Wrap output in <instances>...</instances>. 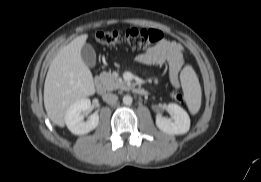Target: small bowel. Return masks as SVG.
<instances>
[{
	"instance_id": "small-bowel-1",
	"label": "small bowel",
	"mask_w": 261,
	"mask_h": 182,
	"mask_svg": "<svg viewBox=\"0 0 261 182\" xmlns=\"http://www.w3.org/2000/svg\"><path fill=\"white\" fill-rule=\"evenodd\" d=\"M183 47L174 40L163 39L137 55L140 64L150 66H168L169 79L173 87H180L179 75L184 65Z\"/></svg>"
}]
</instances>
